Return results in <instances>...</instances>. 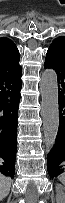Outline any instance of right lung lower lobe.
Listing matches in <instances>:
<instances>
[{
  "mask_svg": "<svg viewBox=\"0 0 65 203\" xmlns=\"http://www.w3.org/2000/svg\"><path fill=\"white\" fill-rule=\"evenodd\" d=\"M22 70L0 74V172L14 177Z\"/></svg>",
  "mask_w": 65,
  "mask_h": 203,
  "instance_id": "obj_1",
  "label": "right lung lower lobe"
}]
</instances>
